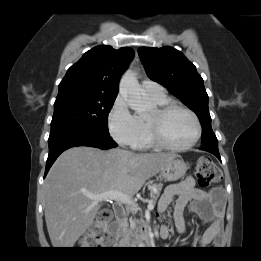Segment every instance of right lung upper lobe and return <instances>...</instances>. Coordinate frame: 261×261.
Wrapping results in <instances>:
<instances>
[{
    "mask_svg": "<svg viewBox=\"0 0 261 261\" xmlns=\"http://www.w3.org/2000/svg\"><path fill=\"white\" fill-rule=\"evenodd\" d=\"M133 56L134 51L130 47L115 50L111 46L100 45L92 48L68 69L59 84L58 95L116 97L120 77Z\"/></svg>",
    "mask_w": 261,
    "mask_h": 261,
    "instance_id": "cb5924a9",
    "label": "right lung upper lobe"
}]
</instances>
